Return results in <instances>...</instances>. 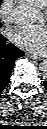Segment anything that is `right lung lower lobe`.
Masks as SVG:
<instances>
[{"mask_svg": "<svg viewBox=\"0 0 47 129\" xmlns=\"http://www.w3.org/2000/svg\"><path fill=\"white\" fill-rule=\"evenodd\" d=\"M6 38L2 37L0 40V92L7 86L14 62L24 53L13 44L4 45Z\"/></svg>", "mask_w": 47, "mask_h": 129, "instance_id": "right-lung-lower-lobe-1", "label": "right lung lower lobe"}]
</instances>
